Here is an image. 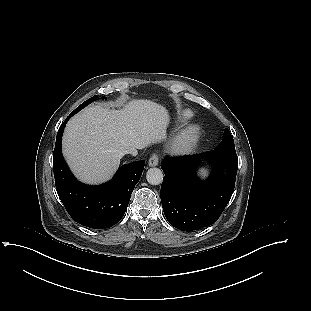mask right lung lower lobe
<instances>
[{"instance_id":"1","label":"right lung lower lobe","mask_w":311,"mask_h":311,"mask_svg":"<svg viewBox=\"0 0 311 311\" xmlns=\"http://www.w3.org/2000/svg\"><path fill=\"white\" fill-rule=\"evenodd\" d=\"M72 115L59 128L53 153L57 193L76 222L94 229L109 228L123 217L131 193L142 175L145 161L123 165L116 176L103 185L88 186L80 183L70 172L61 152L63 130Z\"/></svg>"}]
</instances>
